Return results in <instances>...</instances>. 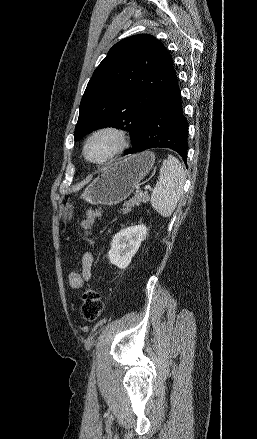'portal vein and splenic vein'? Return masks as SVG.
<instances>
[{
  "mask_svg": "<svg viewBox=\"0 0 257 439\" xmlns=\"http://www.w3.org/2000/svg\"><path fill=\"white\" fill-rule=\"evenodd\" d=\"M145 190H151V186L150 185L145 186Z\"/></svg>",
  "mask_w": 257,
  "mask_h": 439,
  "instance_id": "obj_1",
  "label": "portal vein and splenic vein"
}]
</instances>
